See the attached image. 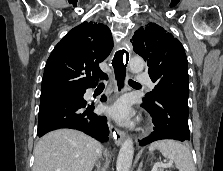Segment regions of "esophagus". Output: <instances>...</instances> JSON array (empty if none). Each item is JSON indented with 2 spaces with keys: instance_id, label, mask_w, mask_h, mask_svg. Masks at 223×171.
<instances>
[{
  "instance_id": "1",
  "label": "esophagus",
  "mask_w": 223,
  "mask_h": 171,
  "mask_svg": "<svg viewBox=\"0 0 223 171\" xmlns=\"http://www.w3.org/2000/svg\"><path fill=\"white\" fill-rule=\"evenodd\" d=\"M130 47L128 43H122L119 51H115L112 60L113 84L117 94L123 93L127 87L128 63L130 60ZM113 137L117 145H120L124 138L125 132L119 128L113 129Z\"/></svg>"
}]
</instances>
